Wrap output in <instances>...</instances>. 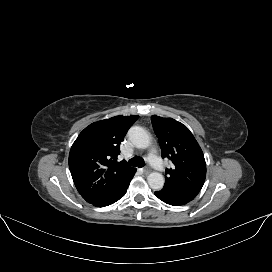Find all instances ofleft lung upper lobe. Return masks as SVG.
<instances>
[{"instance_id": "obj_1", "label": "left lung upper lobe", "mask_w": 272, "mask_h": 272, "mask_svg": "<svg viewBox=\"0 0 272 272\" xmlns=\"http://www.w3.org/2000/svg\"><path fill=\"white\" fill-rule=\"evenodd\" d=\"M151 121L162 157L173 163L172 168L166 169L164 187L200 191L206 177V163L192 133L172 118L153 115Z\"/></svg>"}]
</instances>
